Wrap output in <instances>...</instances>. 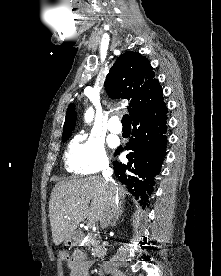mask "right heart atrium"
Masks as SVG:
<instances>
[{
  "mask_svg": "<svg viewBox=\"0 0 221 276\" xmlns=\"http://www.w3.org/2000/svg\"><path fill=\"white\" fill-rule=\"evenodd\" d=\"M65 161L69 171L81 175L95 174L108 166L103 143L86 135L73 139L66 151Z\"/></svg>",
  "mask_w": 221,
  "mask_h": 276,
  "instance_id": "obj_1",
  "label": "right heart atrium"
}]
</instances>
